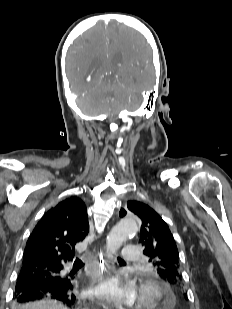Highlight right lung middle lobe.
I'll return each instance as SVG.
<instances>
[{
	"mask_svg": "<svg viewBox=\"0 0 232 309\" xmlns=\"http://www.w3.org/2000/svg\"><path fill=\"white\" fill-rule=\"evenodd\" d=\"M19 277H23L24 279H27V280H32V279H36L37 277L36 276H33L32 274H22L20 273ZM55 279V273H49L45 276V281H53Z\"/></svg>",
	"mask_w": 232,
	"mask_h": 309,
	"instance_id": "obj_1",
	"label": "right lung middle lobe"
}]
</instances>
